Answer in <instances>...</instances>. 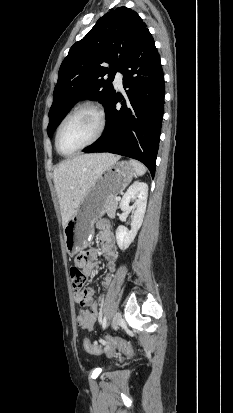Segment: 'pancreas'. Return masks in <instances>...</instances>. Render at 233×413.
Returning <instances> with one entry per match:
<instances>
[{"instance_id": "pancreas-1", "label": "pancreas", "mask_w": 233, "mask_h": 413, "mask_svg": "<svg viewBox=\"0 0 233 413\" xmlns=\"http://www.w3.org/2000/svg\"><path fill=\"white\" fill-rule=\"evenodd\" d=\"M117 205H118V201H116L115 197L110 198V200L105 206V212L108 214V216L110 217L115 216Z\"/></svg>"}]
</instances>
